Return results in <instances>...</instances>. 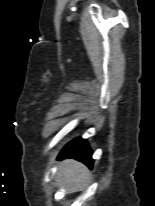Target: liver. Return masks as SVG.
<instances>
[{"label": "liver", "mask_w": 155, "mask_h": 206, "mask_svg": "<svg viewBox=\"0 0 155 206\" xmlns=\"http://www.w3.org/2000/svg\"><path fill=\"white\" fill-rule=\"evenodd\" d=\"M58 177L67 187L74 189L89 179L88 169L81 163L74 160L64 161L59 169Z\"/></svg>", "instance_id": "1"}]
</instances>
